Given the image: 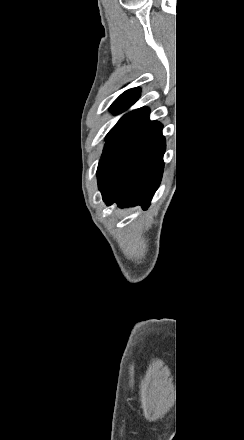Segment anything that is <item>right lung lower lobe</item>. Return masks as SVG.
Segmentation results:
<instances>
[{
    "label": "right lung lower lobe",
    "instance_id": "1",
    "mask_svg": "<svg viewBox=\"0 0 244 440\" xmlns=\"http://www.w3.org/2000/svg\"><path fill=\"white\" fill-rule=\"evenodd\" d=\"M149 109H136L112 129L97 169L98 187L107 205H141L156 192L166 149L162 125L148 118Z\"/></svg>",
    "mask_w": 244,
    "mask_h": 440
}]
</instances>
